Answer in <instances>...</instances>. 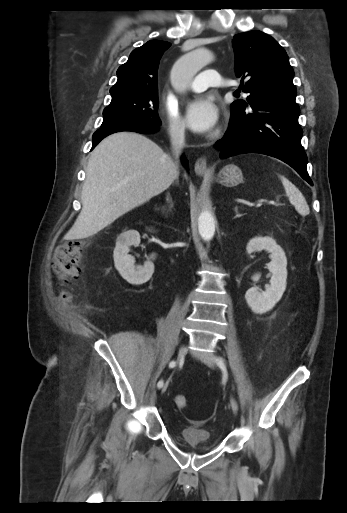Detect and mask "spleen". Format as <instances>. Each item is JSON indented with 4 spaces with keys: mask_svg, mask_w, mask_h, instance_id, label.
<instances>
[{
    "mask_svg": "<svg viewBox=\"0 0 347 513\" xmlns=\"http://www.w3.org/2000/svg\"><path fill=\"white\" fill-rule=\"evenodd\" d=\"M279 178L283 184L290 203L295 207L297 212L302 216L308 215L310 212L309 206L301 191L285 176L279 175Z\"/></svg>",
    "mask_w": 347,
    "mask_h": 513,
    "instance_id": "3e777b00",
    "label": "spleen"
}]
</instances>
